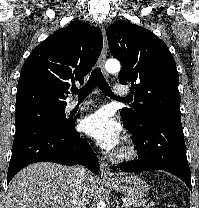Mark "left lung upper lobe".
I'll use <instances>...</instances> for the list:
<instances>
[{
  "label": "left lung upper lobe",
  "mask_w": 199,
  "mask_h": 208,
  "mask_svg": "<svg viewBox=\"0 0 199 208\" xmlns=\"http://www.w3.org/2000/svg\"><path fill=\"white\" fill-rule=\"evenodd\" d=\"M106 34L111 54L122 64L118 82L131 83L134 103L120 112L126 127L136 133L151 117L181 116L179 75L166 44L126 21L113 23Z\"/></svg>",
  "instance_id": "obj_1"
}]
</instances>
